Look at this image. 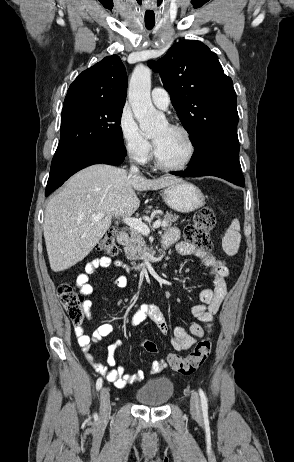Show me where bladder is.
Here are the masks:
<instances>
[{
	"label": "bladder",
	"instance_id": "31cf9c89",
	"mask_svg": "<svg viewBox=\"0 0 294 462\" xmlns=\"http://www.w3.org/2000/svg\"><path fill=\"white\" fill-rule=\"evenodd\" d=\"M174 383L169 377H159L143 383L135 392L136 401L147 407H160L174 395Z\"/></svg>",
	"mask_w": 294,
	"mask_h": 462
}]
</instances>
